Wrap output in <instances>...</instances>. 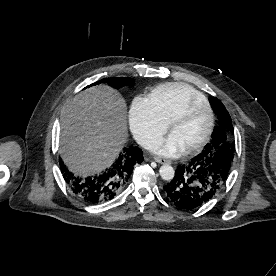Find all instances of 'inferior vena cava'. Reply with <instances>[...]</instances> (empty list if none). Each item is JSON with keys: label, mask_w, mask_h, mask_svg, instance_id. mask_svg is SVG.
I'll use <instances>...</instances> for the list:
<instances>
[{"label": "inferior vena cava", "mask_w": 276, "mask_h": 276, "mask_svg": "<svg viewBox=\"0 0 276 276\" xmlns=\"http://www.w3.org/2000/svg\"><path fill=\"white\" fill-rule=\"evenodd\" d=\"M160 143L153 139H145L142 142V146L147 150H156L160 147Z\"/></svg>", "instance_id": "1"}]
</instances>
